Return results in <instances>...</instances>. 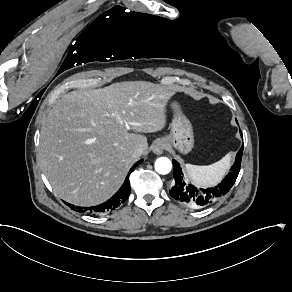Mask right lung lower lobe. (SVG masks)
<instances>
[{"label": "right lung lower lobe", "instance_id": "right-lung-lower-lobe-1", "mask_svg": "<svg viewBox=\"0 0 292 292\" xmlns=\"http://www.w3.org/2000/svg\"><path fill=\"white\" fill-rule=\"evenodd\" d=\"M143 160L138 161L136 164L132 166V168L129 171V174L134 170V168L140 164ZM129 174L127 175L123 185L118 190V192L111 197L106 202L94 206V207H80V206H74L72 204L66 203V205L70 206L72 210L79 211V212H87L89 214L99 213V212H108L112 211L115 208H117L119 205H121L129 196L130 194V182H129Z\"/></svg>", "mask_w": 292, "mask_h": 292}]
</instances>
